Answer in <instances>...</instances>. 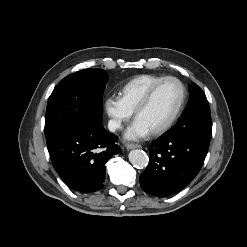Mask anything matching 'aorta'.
Instances as JSON below:
<instances>
[{"label":"aorta","instance_id":"obj_1","mask_svg":"<svg viewBox=\"0 0 247 247\" xmlns=\"http://www.w3.org/2000/svg\"><path fill=\"white\" fill-rule=\"evenodd\" d=\"M129 161L136 168H145L148 165L149 158L143 150L136 149L129 153Z\"/></svg>","mask_w":247,"mask_h":247}]
</instances>
